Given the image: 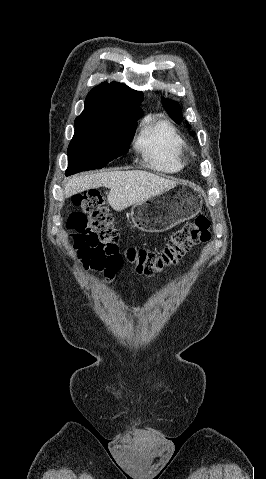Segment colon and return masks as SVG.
Returning a JSON list of instances; mask_svg holds the SVG:
<instances>
[{
  "mask_svg": "<svg viewBox=\"0 0 266 479\" xmlns=\"http://www.w3.org/2000/svg\"><path fill=\"white\" fill-rule=\"evenodd\" d=\"M77 208L67 219L73 245L85 271L103 274L106 282L120 271L124 262L141 275L153 276L175 266L193 246L211 239L210 221L199 216L170 236L161 251L121 248L118 230L98 190L90 189L73 198Z\"/></svg>",
  "mask_w": 266,
  "mask_h": 479,
  "instance_id": "1",
  "label": "colon"
}]
</instances>
